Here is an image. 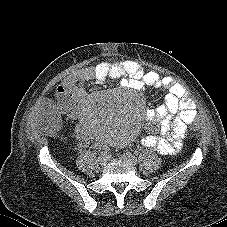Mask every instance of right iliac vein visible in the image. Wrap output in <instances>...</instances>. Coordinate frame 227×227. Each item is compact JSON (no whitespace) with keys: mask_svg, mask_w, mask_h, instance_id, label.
Masks as SVG:
<instances>
[{"mask_svg":"<svg viewBox=\"0 0 227 227\" xmlns=\"http://www.w3.org/2000/svg\"><path fill=\"white\" fill-rule=\"evenodd\" d=\"M97 161L101 166H104L107 163V158L105 156H100Z\"/></svg>","mask_w":227,"mask_h":227,"instance_id":"right-iliac-vein-1","label":"right iliac vein"}]
</instances>
